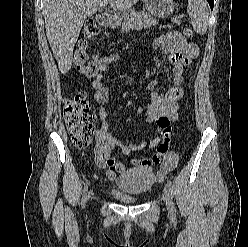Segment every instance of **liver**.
<instances>
[{
	"label": "liver",
	"mask_w": 248,
	"mask_h": 247,
	"mask_svg": "<svg viewBox=\"0 0 248 247\" xmlns=\"http://www.w3.org/2000/svg\"><path fill=\"white\" fill-rule=\"evenodd\" d=\"M110 3L117 11H127L139 0H43L46 36L59 71L66 74L72 66L74 46L86 17Z\"/></svg>",
	"instance_id": "liver-1"
}]
</instances>
